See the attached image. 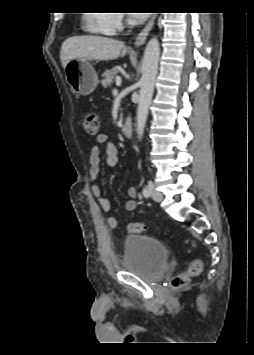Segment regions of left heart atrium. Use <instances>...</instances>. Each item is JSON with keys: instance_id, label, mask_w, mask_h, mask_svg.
Wrapping results in <instances>:
<instances>
[{"instance_id": "1", "label": "left heart atrium", "mask_w": 254, "mask_h": 355, "mask_svg": "<svg viewBox=\"0 0 254 355\" xmlns=\"http://www.w3.org/2000/svg\"><path fill=\"white\" fill-rule=\"evenodd\" d=\"M147 18L146 13H130V20L133 24H140Z\"/></svg>"}]
</instances>
